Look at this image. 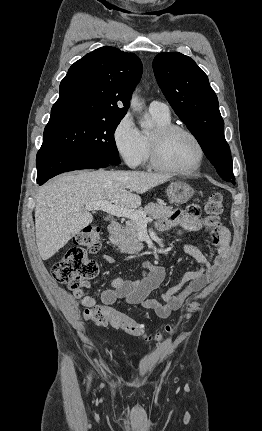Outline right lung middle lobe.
Wrapping results in <instances>:
<instances>
[{
  "mask_svg": "<svg viewBox=\"0 0 262 431\" xmlns=\"http://www.w3.org/2000/svg\"><path fill=\"white\" fill-rule=\"evenodd\" d=\"M121 119L89 118L47 125L41 148L79 152L120 164L114 131Z\"/></svg>",
  "mask_w": 262,
  "mask_h": 431,
  "instance_id": "obj_1",
  "label": "right lung middle lobe"
}]
</instances>
